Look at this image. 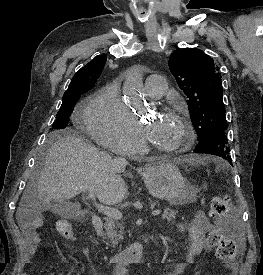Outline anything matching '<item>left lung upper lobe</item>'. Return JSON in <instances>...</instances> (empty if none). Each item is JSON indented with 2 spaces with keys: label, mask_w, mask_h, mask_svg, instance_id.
I'll list each match as a JSON object with an SVG mask.
<instances>
[{
  "label": "left lung upper lobe",
  "mask_w": 263,
  "mask_h": 275,
  "mask_svg": "<svg viewBox=\"0 0 263 275\" xmlns=\"http://www.w3.org/2000/svg\"><path fill=\"white\" fill-rule=\"evenodd\" d=\"M169 68L188 97V109L198 141L226 131L221 75L213 59L200 49H177L169 58Z\"/></svg>",
  "instance_id": "left-lung-upper-lobe-1"
}]
</instances>
